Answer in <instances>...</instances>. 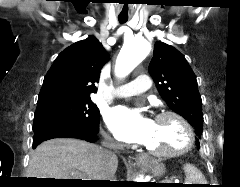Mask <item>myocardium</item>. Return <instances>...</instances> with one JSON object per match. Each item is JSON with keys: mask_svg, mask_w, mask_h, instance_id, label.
Segmentation results:
<instances>
[{"mask_svg": "<svg viewBox=\"0 0 240 187\" xmlns=\"http://www.w3.org/2000/svg\"><path fill=\"white\" fill-rule=\"evenodd\" d=\"M166 117H171L175 119L178 122V124L181 126L182 131L185 135L184 144L181 147L170 149V150H163V151L152 150L146 147L147 152L151 155H154L160 158L177 157L189 152L194 146V142H195V135H194V131L191 124L182 114L174 110H165L160 112L156 116V120H160Z\"/></svg>", "mask_w": 240, "mask_h": 187, "instance_id": "1", "label": "myocardium"}]
</instances>
